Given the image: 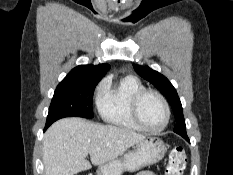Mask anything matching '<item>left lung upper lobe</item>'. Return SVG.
<instances>
[{"instance_id": "left-lung-upper-lobe-1", "label": "left lung upper lobe", "mask_w": 233, "mask_h": 175, "mask_svg": "<svg viewBox=\"0 0 233 175\" xmlns=\"http://www.w3.org/2000/svg\"><path fill=\"white\" fill-rule=\"evenodd\" d=\"M134 69L141 77L155 85L168 99V102L173 109V113L176 119L174 132L181 135L187 140L188 136L186 133V125L183 117L182 105L173 85L165 76L158 73L157 71L150 69L149 67L134 65Z\"/></svg>"}]
</instances>
